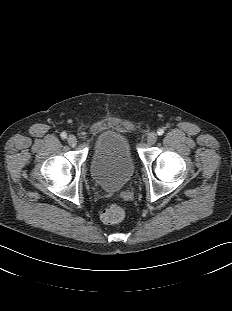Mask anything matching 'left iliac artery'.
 Returning a JSON list of instances; mask_svg holds the SVG:
<instances>
[{
	"label": "left iliac artery",
	"mask_w": 232,
	"mask_h": 311,
	"mask_svg": "<svg viewBox=\"0 0 232 311\" xmlns=\"http://www.w3.org/2000/svg\"><path fill=\"white\" fill-rule=\"evenodd\" d=\"M157 134L159 136L163 135L164 134V129H162V128L158 129Z\"/></svg>",
	"instance_id": "1"
}]
</instances>
